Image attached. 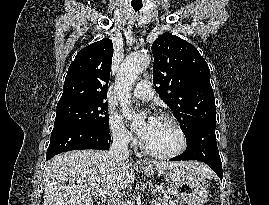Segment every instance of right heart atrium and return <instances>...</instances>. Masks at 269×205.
Instances as JSON below:
<instances>
[{
  "instance_id": "1",
  "label": "right heart atrium",
  "mask_w": 269,
  "mask_h": 205,
  "mask_svg": "<svg viewBox=\"0 0 269 205\" xmlns=\"http://www.w3.org/2000/svg\"><path fill=\"white\" fill-rule=\"evenodd\" d=\"M108 130L115 142L124 146L135 144L133 135L126 128L121 117L115 113H110L108 115Z\"/></svg>"
}]
</instances>
